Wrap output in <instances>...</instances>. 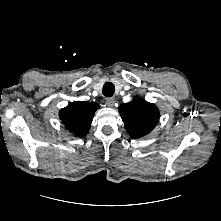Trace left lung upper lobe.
Instances as JSON below:
<instances>
[{
  "instance_id": "1",
  "label": "left lung upper lobe",
  "mask_w": 221,
  "mask_h": 221,
  "mask_svg": "<svg viewBox=\"0 0 221 221\" xmlns=\"http://www.w3.org/2000/svg\"><path fill=\"white\" fill-rule=\"evenodd\" d=\"M119 113L126 131L132 138L150 133L160 118L157 107L138 96L129 103L121 104Z\"/></svg>"
}]
</instances>
